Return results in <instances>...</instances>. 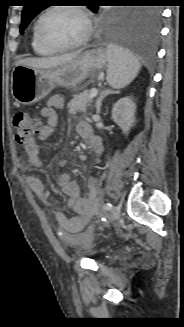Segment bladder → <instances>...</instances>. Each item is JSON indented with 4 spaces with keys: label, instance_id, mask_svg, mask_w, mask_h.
<instances>
[{
    "label": "bladder",
    "instance_id": "1",
    "mask_svg": "<svg viewBox=\"0 0 184 327\" xmlns=\"http://www.w3.org/2000/svg\"><path fill=\"white\" fill-rule=\"evenodd\" d=\"M74 249L90 256L92 259L97 258L98 246L96 234L92 231L83 232L75 237L71 244Z\"/></svg>",
    "mask_w": 184,
    "mask_h": 327
}]
</instances>
